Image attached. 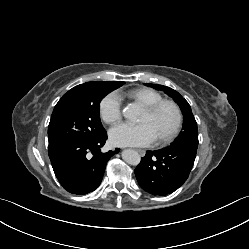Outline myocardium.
<instances>
[{
	"instance_id": "1",
	"label": "myocardium",
	"mask_w": 249,
	"mask_h": 249,
	"mask_svg": "<svg viewBox=\"0 0 249 249\" xmlns=\"http://www.w3.org/2000/svg\"><path fill=\"white\" fill-rule=\"evenodd\" d=\"M165 106L170 107L174 111L175 122L172 128L170 129V131H168L166 134L157 138L158 143H168L172 141L179 133L182 123H183V114H182L181 108L176 102L172 100H166V99H163L161 101L155 102L150 105L143 106L144 110L148 112L149 114H155L156 112H158L161 108Z\"/></svg>"
}]
</instances>
